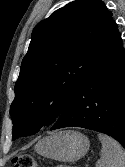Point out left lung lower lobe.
Instances as JSON below:
<instances>
[{
    "mask_svg": "<svg viewBox=\"0 0 125 167\" xmlns=\"http://www.w3.org/2000/svg\"><path fill=\"white\" fill-rule=\"evenodd\" d=\"M82 127L105 133L125 147V51L113 21L88 74L51 130Z\"/></svg>",
    "mask_w": 125,
    "mask_h": 167,
    "instance_id": "left-lung-lower-lobe-1",
    "label": "left lung lower lobe"
}]
</instances>
